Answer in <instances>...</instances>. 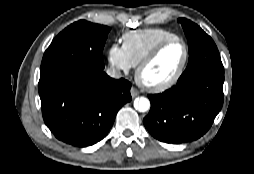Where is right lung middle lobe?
Segmentation results:
<instances>
[{
    "label": "right lung middle lobe",
    "instance_id": "obj_1",
    "mask_svg": "<svg viewBox=\"0 0 254 174\" xmlns=\"http://www.w3.org/2000/svg\"><path fill=\"white\" fill-rule=\"evenodd\" d=\"M110 28L77 21L58 34L44 53L39 85L79 70H102L103 48Z\"/></svg>",
    "mask_w": 254,
    "mask_h": 174
}]
</instances>
